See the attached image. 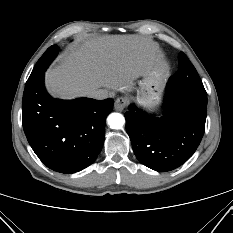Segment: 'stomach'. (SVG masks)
<instances>
[{
	"label": "stomach",
	"mask_w": 233,
	"mask_h": 233,
	"mask_svg": "<svg viewBox=\"0 0 233 233\" xmlns=\"http://www.w3.org/2000/svg\"><path fill=\"white\" fill-rule=\"evenodd\" d=\"M165 69V65L160 60L153 64L150 71L138 82L137 95L139 98H147L149 101L157 98V92L162 88Z\"/></svg>",
	"instance_id": "stomach-1"
}]
</instances>
